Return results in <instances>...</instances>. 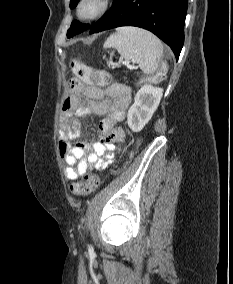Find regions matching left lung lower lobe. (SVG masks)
<instances>
[{
  "label": "left lung lower lobe",
  "mask_w": 233,
  "mask_h": 284,
  "mask_svg": "<svg viewBox=\"0 0 233 284\" xmlns=\"http://www.w3.org/2000/svg\"><path fill=\"white\" fill-rule=\"evenodd\" d=\"M187 6L188 0H114L90 34L120 26L144 28L168 44L178 59L184 43Z\"/></svg>",
  "instance_id": "1"
}]
</instances>
